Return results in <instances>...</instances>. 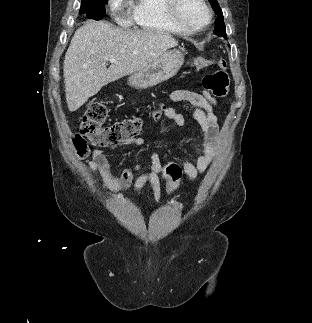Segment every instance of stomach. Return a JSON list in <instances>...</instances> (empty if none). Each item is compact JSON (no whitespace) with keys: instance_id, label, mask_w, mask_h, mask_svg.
<instances>
[{"instance_id":"0dacf381","label":"stomach","mask_w":312,"mask_h":323,"mask_svg":"<svg viewBox=\"0 0 312 323\" xmlns=\"http://www.w3.org/2000/svg\"><path fill=\"white\" fill-rule=\"evenodd\" d=\"M185 54H187L185 50H176V48L167 50L157 60L131 74L128 78L129 86L144 90V88H151V86L173 78L184 64Z\"/></svg>"}]
</instances>
